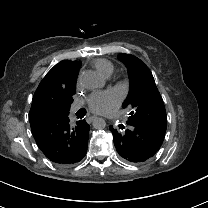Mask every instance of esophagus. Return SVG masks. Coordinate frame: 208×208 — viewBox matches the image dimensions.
I'll return each mask as SVG.
<instances>
[{
	"instance_id": "1",
	"label": "esophagus",
	"mask_w": 208,
	"mask_h": 208,
	"mask_svg": "<svg viewBox=\"0 0 208 208\" xmlns=\"http://www.w3.org/2000/svg\"><path fill=\"white\" fill-rule=\"evenodd\" d=\"M95 118H96V116H94V115L89 116L87 119L88 123H91Z\"/></svg>"
}]
</instances>
